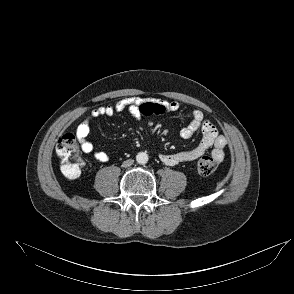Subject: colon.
Returning a JSON list of instances; mask_svg holds the SVG:
<instances>
[{
	"label": "colon",
	"instance_id": "1",
	"mask_svg": "<svg viewBox=\"0 0 294 294\" xmlns=\"http://www.w3.org/2000/svg\"><path fill=\"white\" fill-rule=\"evenodd\" d=\"M143 116L160 115L164 109L152 102L142 103L137 110ZM81 147L77 137L71 133L63 135L57 143L56 153L61 160V172L67 178L73 179L79 176L82 160L80 158ZM217 160L210 156H204L198 163V172L206 177L217 170Z\"/></svg>",
	"mask_w": 294,
	"mask_h": 294
}]
</instances>
